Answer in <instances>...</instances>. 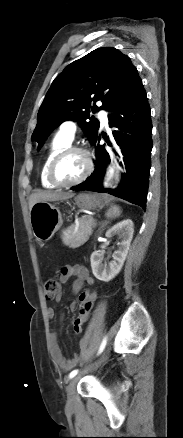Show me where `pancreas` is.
<instances>
[{"mask_svg": "<svg viewBox=\"0 0 183 438\" xmlns=\"http://www.w3.org/2000/svg\"><path fill=\"white\" fill-rule=\"evenodd\" d=\"M95 225V220L90 216L80 218L77 231L71 226L66 230L67 236H62L63 244L73 249L80 247L88 241Z\"/></svg>", "mask_w": 183, "mask_h": 438, "instance_id": "cf45deb5", "label": "pancreas"}]
</instances>
